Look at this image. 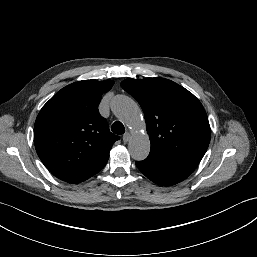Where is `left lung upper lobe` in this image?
<instances>
[{"instance_id":"5c2ea615","label":"left lung upper lobe","mask_w":257,"mask_h":257,"mask_svg":"<svg viewBox=\"0 0 257 257\" xmlns=\"http://www.w3.org/2000/svg\"><path fill=\"white\" fill-rule=\"evenodd\" d=\"M121 86L143 109L151 143L148 158H203L211 129L205 109L192 93L164 78L126 79Z\"/></svg>"}]
</instances>
